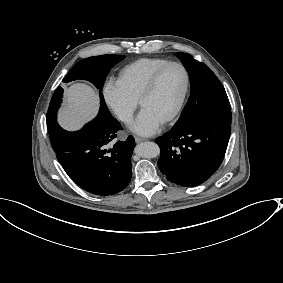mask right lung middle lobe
Returning a JSON list of instances; mask_svg holds the SVG:
<instances>
[{"mask_svg": "<svg viewBox=\"0 0 283 283\" xmlns=\"http://www.w3.org/2000/svg\"><path fill=\"white\" fill-rule=\"evenodd\" d=\"M124 58L125 56L121 55H101L89 57L78 62L69 71V73L63 79V82L68 83L73 80L82 79L93 83L97 87V89L100 90V110L108 111V108L103 98L102 88L110 69ZM62 95L63 89L59 87L55 91L51 99L48 109V115L55 116L54 119H56V112L60 106ZM55 123L57 122L54 121L53 124ZM59 127V125H54L53 128L48 129L51 143L54 149H56L62 141L61 131Z\"/></svg>", "mask_w": 283, "mask_h": 283, "instance_id": "dd1d6c3e", "label": "right lung middle lobe"}]
</instances>
